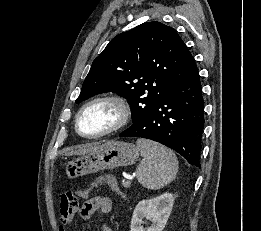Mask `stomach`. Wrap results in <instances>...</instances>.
Returning a JSON list of instances; mask_svg holds the SVG:
<instances>
[{
  "label": "stomach",
  "instance_id": "1",
  "mask_svg": "<svg viewBox=\"0 0 261 231\" xmlns=\"http://www.w3.org/2000/svg\"><path fill=\"white\" fill-rule=\"evenodd\" d=\"M139 149L132 143L111 141L110 144L69 161L65 166L69 179H75L100 170L129 166L137 162Z\"/></svg>",
  "mask_w": 261,
  "mask_h": 231
}]
</instances>
